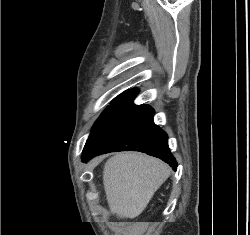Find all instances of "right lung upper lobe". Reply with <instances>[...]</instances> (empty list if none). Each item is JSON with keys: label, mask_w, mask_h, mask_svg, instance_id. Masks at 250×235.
<instances>
[{"label": "right lung upper lobe", "mask_w": 250, "mask_h": 235, "mask_svg": "<svg viewBox=\"0 0 250 235\" xmlns=\"http://www.w3.org/2000/svg\"><path fill=\"white\" fill-rule=\"evenodd\" d=\"M138 90L137 89H132V90H128L125 93L119 95L117 98H133L137 95Z\"/></svg>", "instance_id": "1"}]
</instances>
